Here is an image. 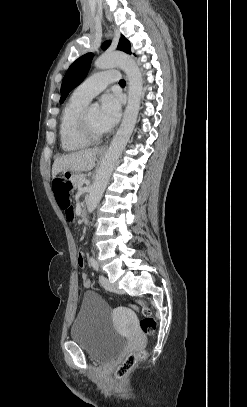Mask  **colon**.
<instances>
[{"mask_svg": "<svg viewBox=\"0 0 247 407\" xmlns=\"http://www.w3.org/2000/svg\"><path fill=\"white\" fill-rule=\"evenodd\" d=\"M52 190L57 201L59 208L65 212L68 211L71 205V192L72 185L70 182L65 181L62 178H55L52 182ZM133 309H141L143 318L140 320V330L146 335L154 334L156 330V321L152 317L150 308L140 300L131 302ZM146 357V351L141 350L135 353H131L125 357L122 363L116 368L114 376L116 379H122L126 377L139 363L140 360Z\"/></svg>", "mask_w": 247, "mask_h": 407, "instance_id": "5ec220e1", "label": "colon"}]
</instances>
